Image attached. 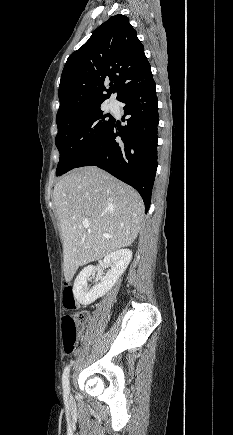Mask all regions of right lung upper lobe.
<instances>
[{
	"instance_id": "right-lung-upper-lobe-1",
	"label": "right lung upper lobe",
	"mask_w": 233,
	"mask_h": 435,
	"mask_svg": "<svg viewBox=\"0 0 233 435\" xmlns=\"http://www.w3.org/2000/svg\"><path fill=\"white\" fill-rule=\"evenodd\" d=\"M150 73L144 47L128 17L112 16L67 59L59 85L56 120L100 107L112 93L119 100L131 85ZM109 81L111 88L106 89Z\"/></svg>"
}]
</instances>
